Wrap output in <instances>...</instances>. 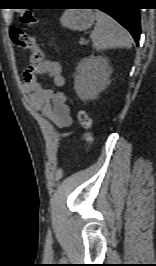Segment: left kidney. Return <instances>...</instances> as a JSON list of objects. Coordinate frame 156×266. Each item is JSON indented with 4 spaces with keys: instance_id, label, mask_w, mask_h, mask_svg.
Masks as SVG:
<instances>
[{
    "instance_id": "obj_1",
    "label": "left kidney",
    "mask_w": 156,
    "mask_h": 266,
    "mask_svg": "<svg viewBox=\"0 0 156 266\" xmlns=\"http://www.w3.org/2000/svg\"><path fill=\"white\" fill-rule=\"evenodd\" d=\"M111 68L104 57L90 56L80 61L74 89L81 100L95 99L109 83Z\"/></svg>"
}]
</instances>
